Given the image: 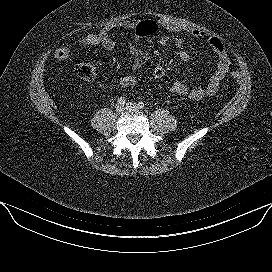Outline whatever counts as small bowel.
<instances>
[{
	"instance_id": "1",
	"label": "small bowel",
	"mask_w": 272,
	"mask_h": 272,
	"mask_svg": "<svg viewBox=\"0 0 272 272\" xmlns=\"http://www.w3.org/2000/svg\"><path fill=\"white\" fill-rule=\"evenodd\" d=\"M159 25L165 29L167 32L172 34H186L189 35L203 43L208 44L217 56V65L212 73L209 82L206 85L188 87L182 82L175 81L170 86V92L178 96H187L189 99L198 101L207 96L214 95L222 80L224 79L230 65V60L228 53L226 51L223 43L211 34L198 30L188 28L181 24L172 21H159ZM136 21H125L116 24H107L101 28V31L112 36L114 29L119 28L121 30L130 31L138 27ZM173 43L179 50L177 51V56L185 63H190L192 61L191 55L184 50L185 40L183 38L172 39L169 36H163L159 39L158 44L160 47H166L170 43ZM147 60V54L144 50L137 46H134L130 55L131 67L136 69L139 68Z\"/></svg>"
}]
</instances>
